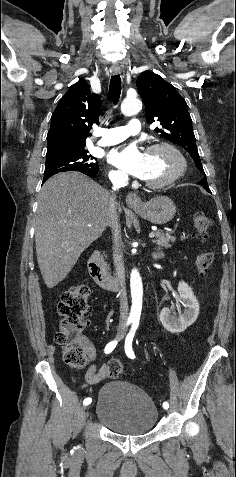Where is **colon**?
<instances>
[{
    "instance_id": "5ec220e1",
    "label": "colon",
    "mask_w": 236,
    "mask_h": 477,
    "mask_svg": "<svg viewBox=\"0 0 236 477\" xmlns=\"http://www.w3.org/2000/svg\"><path fill=\"white\" fill-rule=\"evenodd\" d=\"M212 228L211 219L202 212L194 216V232L201 239H206ZM211 252L199 253L195 264L201 275L207 274L213 263ZM90 289L87 285L78 284L67 290L57 306L60 316L59 330L55 342L63 349V359L74 369H82L87 364L86 351L81 339V333L87 325V314L90 310ZM110 378L116 379L123 370V364L118 359H112L107 364Z\"/></svg>"
}]
</instances>
